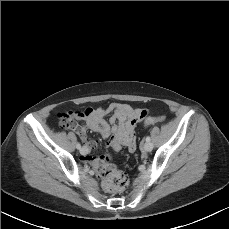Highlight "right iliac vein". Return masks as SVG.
Instances as JSON below:
<instances>
[{"label": "right iliac vein", "mask_w": 229, "mask_h": 229, "mask_svg": "<svg viewBox=\"0 0 229 229\" xmlns=\"http://www.w3.org/2000/svg\"><path fill=\"white\" fill-rule=\"evenodd\" d=\"M85 151H86L85 148H81V149H80V153H81V154H84Z\"/></svg>", "instance_id": "63e3f726"}]
</instances>
